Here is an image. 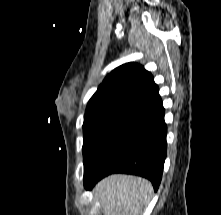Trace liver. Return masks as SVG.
I'll return each mask as SVG.
<instances>
[{
    "mask_svg": "<svg viewBox=\"0 0 221 215\" xmlns=\"http://www.w3.org/2000/svg\"><path fill=\"white\" fill-rule=\"evenodd\" d=\"M93 193L104 215H139L149 204L153 187L141 177L115 174L101 180Z\"/></svg>",
    "mask_w": 221,
    "mask_h": 215,
    "instance_id": "liver-1",
    "label": "liver"
}]
</instances>
